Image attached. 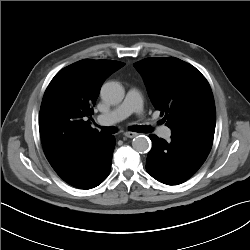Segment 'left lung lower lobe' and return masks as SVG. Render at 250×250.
Returning <instances> with one entry per match:
<instances>
[{
  "instance_id": "left-lung-lower-lobe-1",
  "label": "left lung lower lobe",
  "mask_w": 250,
  "mask_h": 250,
  "mask_svg": "<svg viewBox=\"0 0 250 250\" xmlns=\"http://www.w3.org/2000/svg\"><path fill=\"white\" fill-rule=\"evenodd\" d=\"M146 159V170L156 180L177 185L189 179L206 160L213 143L211 136L172 134L167 142L154 134Z\"/></svg>"
}]
</instances>
